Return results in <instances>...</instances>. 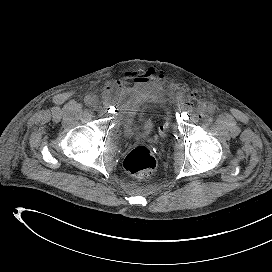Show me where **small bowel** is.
<instances>
[{
	"label": "small bowel",
	"mask_w": 272,
	"mask_h": 272,
	"mask_svg": "<svg viewBox=\"0 0 272 272\" xmlns=\"http://www.w3.org/2000/svg\"><path fill=\"white\" fill-rule=\"evenodd\" d=\"M127 78H130L132 79L133 81L135 82H142L143 81V78L144 76L143 75H140V74H137V73H127L125 75ZM109 88L110 90H112L113 88H117V87H121V81L119 79L117 80H114L112 83H110L109 85Z\"/></svg>",
	"instance_id": "1"
}]
</instances>
